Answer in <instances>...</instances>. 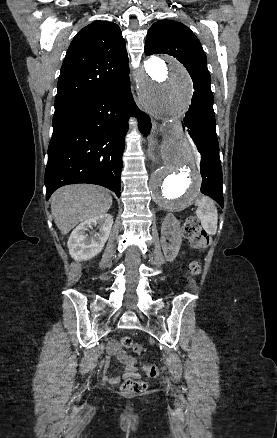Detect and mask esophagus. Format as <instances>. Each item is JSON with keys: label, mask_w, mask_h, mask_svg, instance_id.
Instances as JSON below:
<instances>
[{"label": "esophagus", "mask_w": 277, "mask_h": 438, "mask_svg": "<svg viewBox=\"0 0 277 438\" xmlns=\"http://www.w3.org/2000/svg\"><path fill=\"white\" fill-rule=\"evenodd\" d=\"M156 128H157V122H154V123H153L154 133H156Z\"/></svg>", "instance_id": "1"}]
</instances>
